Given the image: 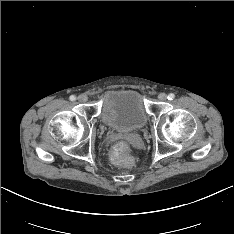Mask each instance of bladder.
<instances>
[{"instance_id": "obj_1", "label": "bladder", "mask_w": 234, "mask_h": 234, "mask_svg": "<svg viewBox=\"0 0 234 234\" xmlns=\"http://www.w3.org/2000/svg\"><path fill=\"white\" fill-rule=\"evenodd\" d=\"M102 117L111 130L119 133L138 131L147 123L142 96L135 90L109 92L103 101Z\"/></svg>"}]
</instances>
